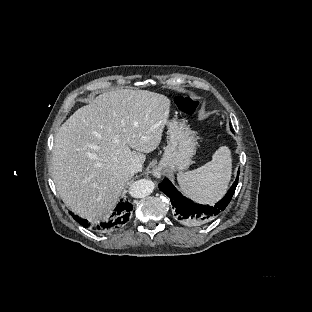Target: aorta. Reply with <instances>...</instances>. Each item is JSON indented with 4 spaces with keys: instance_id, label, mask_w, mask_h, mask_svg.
Returning <instances> with one entry per match:
<instances>
[{
    "instance_id": "762f6f07",
    "label": "aorta",
    "mask_w": 312,
    "mask_h": 312,
    "mask_svg": "<svg viewBox=\"0 0 312 312\" xmlns=\"http://www.w3.org/2000/svg\"><path fill=\"white\" fill-rule=\"evenodd\" d=\"M154 190V185L150 180L141 179L134 181L128 188V193L132 198L140 199L150 195Z\"/></svg>"
}]
</instances>
